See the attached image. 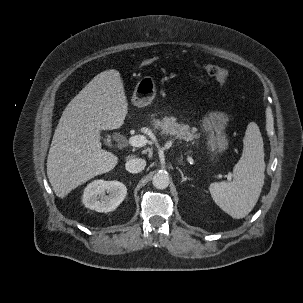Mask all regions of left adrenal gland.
<instances>
[{
  "label": "left adrenal gland",
  "instance_id": "a2214340",
  "mask_svg": "<svg viewBox=\"0 0 303 303\" xmlns=\"http://www.w3.org/2000/svg\"><path fill=\"white\" fill-rule=\"evenodd\" d=\"M181 162H182V159H181ZM183 163V162H182ZM179 172H180V174H181V182H184V181H186V180H190V178L189 177H187V176H185L184 174H183V172H182V170L181 169H179Z\"/></svg>",
  "mask_w": 303,
  "mask_h": 303
}]
</instances>
